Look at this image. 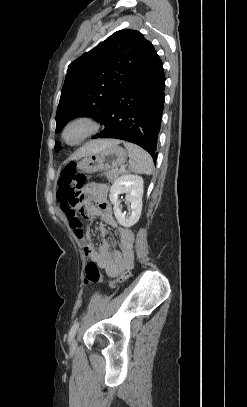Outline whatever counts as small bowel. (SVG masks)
I'll return each mask as SVG.
<instances>
[{
    "label": "small bowel",
    "mask_w": 247,
    "mask_h": 407,
    "mask_svg": "<svg viewBox=\"0 0 247 407\" xmlns=\"http://www.w3.org/2000/svg\"><path fill=\"white\" fill-rule=\"evenodd\" d=\"M108 186L105 184H90L85 189L82 200L77 202L61 203V210L65 214L75 237L84 250V255L104 269L107 276L117 278L126 269L133 266L134 235L131 230L118 226L113 216L112 205L108 200ZM94 202V204L92 203ZM87 220L99 217L104 223L116 229L118 250L111 252L107 240L108 231L104 226L99 228L101 242L99 248L92 243L89 230L84 231L79 218Z\"/></svg>",
    "instance_id": "1"
}]
</instances>
